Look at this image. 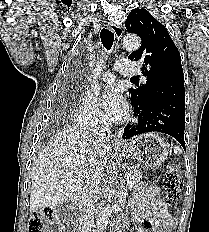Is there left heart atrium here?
Listing matches in <instances>:
<instances>
[{"mask_svg": "<svg viewBox=\"0 0 209 232\" xmlns=\"http://www.w3.org/2000/svg\"><path fill=\"white\" fill-rule=\"evenodd\" d=\"M100 103L105 111L107 121L122 120L127 116L128 105L119 91L108 88L100 98Z\"/></svg>", "mask_w": 209, "mask_h": 232, "instance_id": "39dd6f15", "label": "left heart atrium"}]
</instances>
